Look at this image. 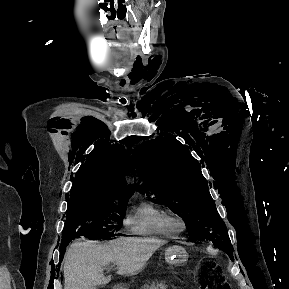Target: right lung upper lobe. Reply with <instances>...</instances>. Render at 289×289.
Instances as JSON below:
<instances>
[{
    "label": "right lung upper lobe",
    "instance_id": "1",
    "mask_svg": "<svg viewBox=\"0 0 289 289\" xmlns=\"http://www.w3.org/2000/svg\"><path fill=\"white\" fill-rule=\"evenodd\" d=\"M129 154L123 145L97 146L76 173L70 199L109 195L129 197L134 190L133 185L124 183L127 169L129 171Z\"/></svg>",
    "mask_w": 289,
    "mask_h": 289
}]
</instances>
